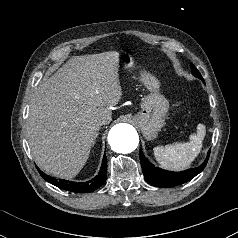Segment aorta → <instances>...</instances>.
<instances>
[{"mask_svg": "<svg viewBox=\"0 0 238 238\" xmlns=\"http://www.w3.org/2000/svg\"><path fill=\"white\" fill-rule=\"evenodd\" d=\"M108 142L113 151L125 154L136 149L139 143V137L133 126L120 123L110 130Z\"/></svg>", "mask_w": 238, "mask_h": 238, "instance_id": "1", "label": "aorta"}]
</instances>
